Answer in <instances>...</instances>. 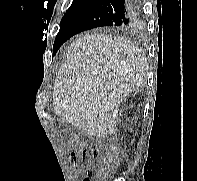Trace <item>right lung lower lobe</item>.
Returning a JSON list of instances; mask_svg holds the SVG:
<instances>
[{"mask_svg": "<svg viewBox=\"0 0 197 181\" xmlns=\"http://www.w3.org/2000/svg\"><path fill=\"white\" fill-rule=\"evenodd\" d=\"M139 24L137 0H98L76 20L66 39L97 27H128Z\"/></svg>", "mask_w": 197, "mask_h": 181, "instance_id": "right-lung-lower-lobe-1", "label": "right lung lower lobe"}]
</instances>
